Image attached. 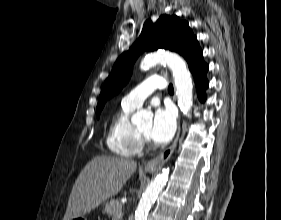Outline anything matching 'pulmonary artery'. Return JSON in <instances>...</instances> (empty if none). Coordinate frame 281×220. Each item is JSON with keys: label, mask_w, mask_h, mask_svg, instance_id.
<instances>
[{"label": "pulmonary artery", "mask_w": 281, "mask_h": 220, "mask_svg": "<svg viewBox=\"0 0 281 220\" xmlns=\"http://www.w3.org/2000/svg\"><path fill=\"white\" fill-rule=\"evenodd\" d=\"M166 81L161 76H151L128 92L123 102L131 107L138 108L157 89H164Z\"/></svg>", "instance_id": "e3ab8cb5"}]
</instances>
